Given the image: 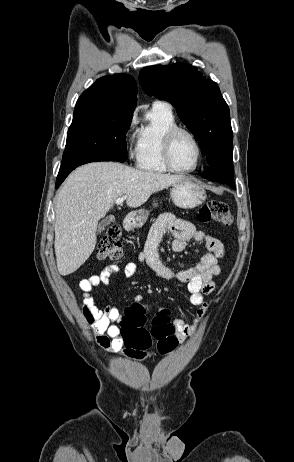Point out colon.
<instances>
[{
	"mask_svg": "<svg viewBox=\"0 0 294 462\" xmlns=\"http://www.w3.org/2000/svg\"><path fill=\"white\" fill-rule=\"evenodd\" d=\"M197 218L202 223L215 222L221 226H230L233 218L228 206L220 200H211L204 204ZM100 259L118 260L122 254L121 229L117 225L110 226L97 246ZM146 309L135 303L128 307L120 321V329L125 344L135 350L145 351L151 347L152 339L157 341L160 353L173 350L178 340L169 312L162 310L156 313L151 322V330L145 329Z\"/></svg>",
	"mask_w": 294,
	"mask_h": 462,
	"instance_id": "colon-1",
	"label": "colon"
}]
</instances>
